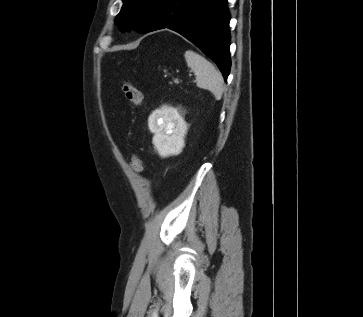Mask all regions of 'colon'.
I'll return each instance as SVG.
<instances>
[{"label":"colon","mask_w":363,"mask_h":317,"mask_svg":"<svg viewBox=\"0 0 363 317\" xmlns=\"http://www.w3.org/2000/svg\"><path fill=\"white\" fill-rule=\"evenodd\" d=\"M122 90L128 103L131 106L136 107L140 105L142 101V93L133 83L128 81L123 82ZM131 167L135 173L137 174L142 173L143 171L142 159L139 156L134 155L131 159Z\"/></svg>","instance_id":"colon-1"}]
</instances>
